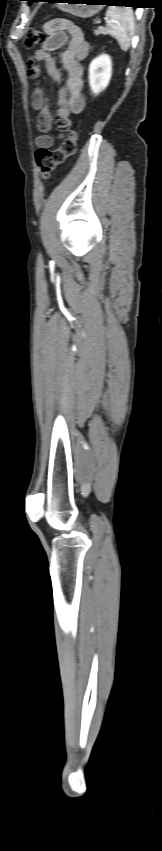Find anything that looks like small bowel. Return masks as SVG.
Segmentation results:
<instances>
[{"label":"small bowel","mask_w":162,"mask_h":851,"mask_svg":"<svg viewBox=\"0 0 162 851\" xmlns=\"http://www.w3.org/2000/svg\"><path fill=\"white\" fill-rule=\"evenodd\" d=\"M47 38L28 61V73L38 79V86L32 94L31 106L38 112L37 128L43 134L36 137L38 147H50L62 138L63 134H47L53 122L61 129L71 124L70 116L79 114L85 107L83 97V66L82 61L89 54V44L82 30L71 20L58 18L44 24ZM66 46L60 62L67 72L65 86L61 87L57 96V109L52 113L49 109V97L39 80L38 62H43L49 76L56 82L62 81V75L56 65L52 52Z\"/></svg>","instance_id":"1"}]
</instances>
